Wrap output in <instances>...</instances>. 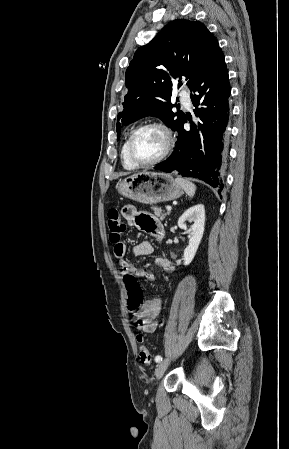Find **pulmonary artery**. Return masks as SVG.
<instances>
[{
  "label": "pulmonary artery",
  "instance_id": "e3ab8cb5",
  "mask_svg": "<svg viewBox=\"0 0 289 449\" xmlns=\"http://www.w3.org/2000/svg\"><path fill=\"white\" fill-rule=\"evenodd\" d=\"M182 103L186 108H190L192 106V101L189 92H182L181 95Z\"/></svg>",
  "mask_w": 289,
  "mask_h": 449
}]
</instances>
